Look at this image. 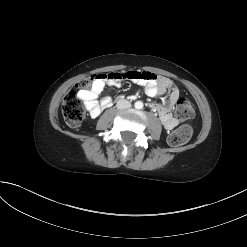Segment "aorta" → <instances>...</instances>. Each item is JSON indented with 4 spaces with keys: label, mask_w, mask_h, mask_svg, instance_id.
<instances>
[{
    "label": "aorta",
    "mask_w": 247,
    "mask_h": 247,
    "mask_svg": "<svg viewBox=\"0 0 247 247\" xmlns=\"http://www.w3.org/2000/svg\"><path fill=\"white\" fill-rule=\"evenodd\" d=\"M135 108H136V109H142V108H143V102H141V101H136V102H135Z\"/></svg>",
    "instance_id": "1"
}]
</instances>
